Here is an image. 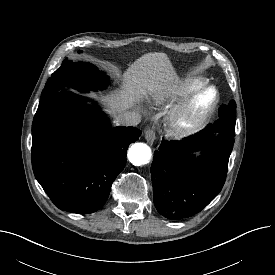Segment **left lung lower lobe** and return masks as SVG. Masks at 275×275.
<instances>
[{"label":"left lung lower lobe","instance_id":"1","mask_svg":"<svg viewBox=\"0 0 275 275\" xmlns=\"http://www.w3.org/2000/svg\"><path fill=\"white\" fill-rule=\"evenodd\" d=\"M220 119L198 135L181 142L162 140L154 152L151 179L154 204L168 219L193 216L208 205L221 191L234 145L235 126ZM202 151L194 159L191 155Z\"/></svg>","mask_w":275,"mask_h":275}]
</instances>
